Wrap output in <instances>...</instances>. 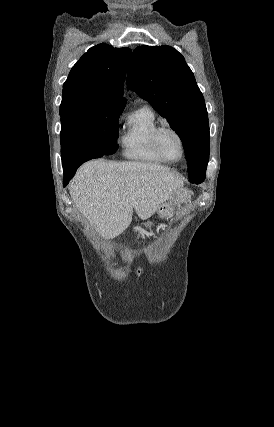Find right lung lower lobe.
<instances>
[{"label": "right lung lower lobe", "mask_w": 274, "mask_h": 427, "mask_svg": "<svg viewBox=\"0 0 274 427\" xmlns=\"http://www.w3.org/2000/svg\"><path fill=\"white\" fill-rule=\"evenodd\" d=\"M82 163H77V164H72L69 166H63L64 168V178H63V186L65 187L69 180L74 176L77 168L81 165Z\"/></svg>", "instance_id": "right-lung-lower-lobe-1"}]
</instances>
